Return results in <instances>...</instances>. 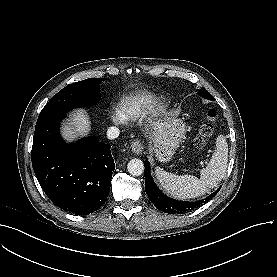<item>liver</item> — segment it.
I'll use <instances>...</instances> for the list:
<instances>
[{"label":"liver","instance_id":"obj_1","mask_svg":"<svg viewBox=\"0 0 277 277\" xmlns=\"http://www.w3.org/2000/svg\"><path fill=\"white\" fill-rule=\"evenodd\" d=\"M90 131V122L84 110H77L72 115V122L64 124L62 135L67 141H73L79 136L87 135Z\"/></svg>","mask_w":277,"mask_h":277}]
</instances>
